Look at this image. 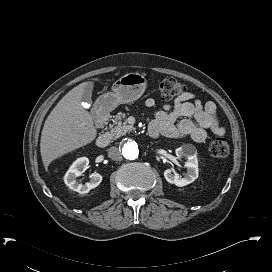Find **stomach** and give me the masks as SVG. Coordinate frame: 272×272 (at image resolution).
<instances>
[{"label": "stomach", "mask_w": 272, "mask_h": 272, "mask_svg": "<svg viewBox=\"0 0 272 272\" xmlns=\"http://www.w3.org/2000/svg\"><path fill=\"white\" fill-rule=\"evenodd\" d=\"M147 80L143 74L128 73L118 79L112 86V92L100 97L106 110L112 111L119 104L133 102L141 97Z\"/></svg>", "instance_id": "obj_1"}]
</instances>
